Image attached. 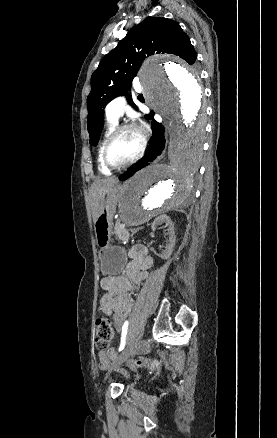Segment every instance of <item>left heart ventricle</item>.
Segmentation results:
<instances>
[{"mask_svg":"<svg viewBox=\"0 0 277 438\" xmlns=\"http://www.w3.org/2000/svg\"><path fill=\"white\" fill-rule=\"evenodd\" d=\"M139 146L138 136L134 132L126 131L112 142L108 151L109 161L114 165L123 164L137 154Z\"/></svg>","mask_w":277,"mask_h":438,"instance_id":"1","label":"left heart ventricle"}]
</instances>
